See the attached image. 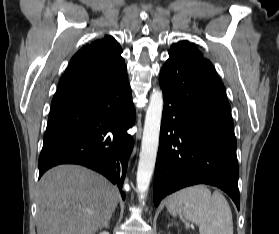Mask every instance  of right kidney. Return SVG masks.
<instances>
[{"mask_svg":"<svg viewBox=\"0 0 279 234\" xmlns=\"http://www.w3.org/2000/svg\"><path fill=\"white\" fill-rule=\"evenodd\" d=\"M99 234H110V233L107 231H103V232H100Z\"/></svg>","mask_w":279,"mask_h":234,"instance_id":"ca27d5eb","label":"right kidney"}]
</instances>
